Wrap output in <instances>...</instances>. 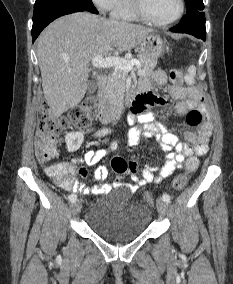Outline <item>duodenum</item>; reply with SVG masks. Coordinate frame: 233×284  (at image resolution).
Returning <instances> with one entry per match:
<instances>
[{"label":"duodenum","instance_id":"duodenum-1","mask_svg":"<svg viewBox=\"0 0 233 284\" xmlns=\"http://www.w3.org/2000/svg\"><path fill=\"white\" fill-rule=\"evenodd\" d=\"M97 81H98L99 96H100V102L97 110V118L100 122L105 124L116 123L119 120L121 114L123 113L124 107L121 105H113L105 100L104 92L109 82V78L107 75L105 74L99 75ZM139 96L140 95L136 96L135 102L139 98Z\"/></svg>","mask_w":233,"mask_h":284}]
</instances>
